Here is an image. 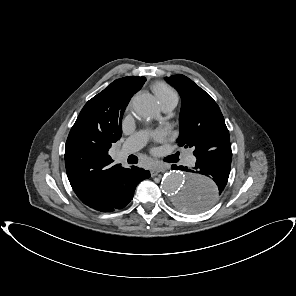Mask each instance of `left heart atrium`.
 <instances>
[{
    "label": "left heart atrium",
    "mask_w": 296,
    "mask_h": 296,
    "mask_svg": "<svg viewBox=\"0 0 296 296\" xmlns=\"http://www.w3.org/2000/svg\"><path fill=\"white\" fill-rule=\"evenodd\" d=\"M154 139L157 141H161L165 138V133L163 131H156L153 134Z\"/></svg>",
    "instance_id": "1"
}]
</instances>
